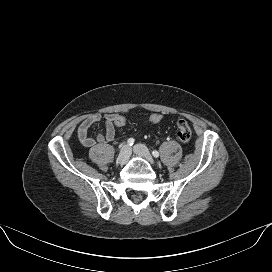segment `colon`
<instances>
[{
  "label": "colon",
  "instance_id": "1",
  "mask_svg": "<svg viewBox=\"0 0 272 272\" xmlns=\"http://www.w3.org/2000/svg\"><path fill=\"white\" fill-rule=\"evenodd\" d=\"M162 119L163 115L161 113H153L149 118V122L151 124H158ZM114 124L116 127H123L126 124L125 117L118 114L115 118ZM176 128V136L178 140L182 143L189 142L192 137V130L189 124L185 120H178Z\"/></svg>",
  "mask_w": 272,
  "mask_h": 272
}]
</instances>
